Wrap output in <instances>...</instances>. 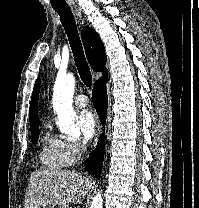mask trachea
<instances>
[{"instance_id":"3493384b","label":"trachea","mask_w":199,"mask_h":208,"mask_svg":"<svg viewBox=\"0 0 199 208\" xmlns=\"http://www.w3.org/2000/svg\"><path fill=\"white\" fill-rule=\"evenodd\" d=\"M55 11L59 14L61 23L67 34L80 78L87 87H91V71L84 55L73 13L70 8L55 9Z\"/></svg>"}]
</instances>
